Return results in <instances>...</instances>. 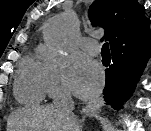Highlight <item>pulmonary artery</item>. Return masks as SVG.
Segmentation results:
<instances>
[{"mask_svg": "<svg viewBox=\"0 0 151 131\" xmlns=\"http://www.w3.org/2000/svg\"><path fill=\"white\" fill-rule=\"evenodd\" d=\"M82 48L89 52V53H93L96 54L98 52L97 47L95 46V44L91 41V40H84L82 42Z\"/></svg>", "mask_w": 151, "mask_h": 131, "instance_id": "pulmonary-artery-1", "label": "pulmonary artery"}]
</instances>
